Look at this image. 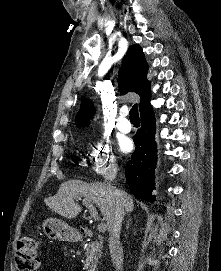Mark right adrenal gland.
I'll use <instances>...</instances> for the list:
<instances>
[{
    "label": "right adrenal gland",
    "mask_w": 221,
    "mask_h": 271,
    "mask_svg": "<svg viewBox=\"0 0 221 271\" xmlns=\"http://www.w3.org/2000/svg\"><path fill=\"white\" fill-rule=\"evenodd\" d=\"M130 221H131V219H129V221H127V223H126V229H128V227L130 225Z\"/></svg>",
    "instance_id": "right-adrenal-gland-1"
}]
</instances>
